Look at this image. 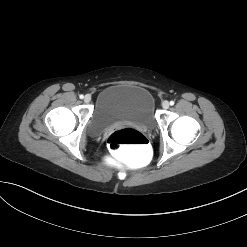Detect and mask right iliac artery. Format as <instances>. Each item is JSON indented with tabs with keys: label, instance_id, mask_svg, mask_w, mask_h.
<instances>
[{
	"label": "right iliac artery",
	"instance_id": "82829eb1",
	"mask_svg": "<svg viewBox=\"0 0 247 247\" xmlns=\"http://www.w3.org/2000/svg\"><path fill=\"white\" fill-rule=\"evenodd\" d=\"M79 98H80V99H83V98H84V96L81 94V95H79Z\"/></svg>",
	"mask_w": 247,
	"mask_h": 247
}]
</instances>
